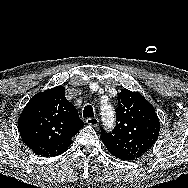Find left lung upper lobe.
<instances>
[{"instance_id": "1", "label": "left lung upper lobe", "mask_w": 188, "mask_h": 188, "mask_svg": "<svg viewBox=\"0 0 188 188\" xmlns=\"http://www.w3.org/2000/svg\"><path fill=\"white\" fill-rule=\"evenodd\" d=\"M116 115V126L112 132L101 130V140L134 159L147 153L160 131L154 107L141 94L124 88L118 95Z\"/></svg>"}]
</instances>
